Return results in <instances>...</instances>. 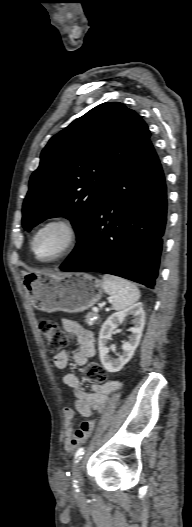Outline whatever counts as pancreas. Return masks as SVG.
<instances>
[{
    "mask_svg": "<svg viewBox=\"0 0 192 527\" xmlns=\"http://www.w3.org/2000/svg\"><path fill=\"white\" fill-rule=\"evenodd\" d=\"M97 316H98V314L96 312L88 313L87 316H86L85 322L88 325H93L95 323H98L99 320L97 319Z\"/></svg>",
    "mask_w": 192,
    "mask_h": 527,
    "instance_id": "1",
    "label": "pancreas"
}]
</instances>
